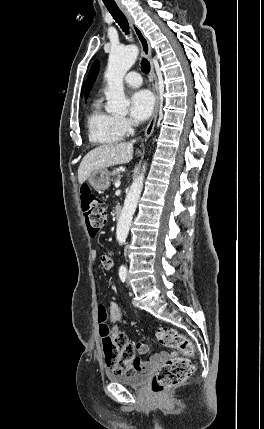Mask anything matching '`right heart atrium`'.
<instances>
[{"label":"right heart atrium","instance_id":"1","mask_svg":"<svg viewBox=\"0 0 264 429\" xmlns=\"http://www.w3.org/2000/svg\"><path fill=\"white\" fill-rule=\"evenodd\" d=\"M119 126L124 134H129L132 131V122L124 117L118 118Z\"/></svg>","mask_w":264,"mask_h":429}]
</instances>
